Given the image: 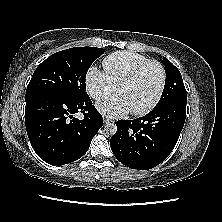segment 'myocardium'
Masks as SVG:
<instances>
[{
	"instance_id": "myocardium-1",
	"label": "myocardium",
	"mask_w": 222,
	"mask_h": 222,
	"mask_svg": "<svg viewBox=\"0 0 222 222\" xmlns=\"http://www.w3.org/2000/svg\"><path fill=\"white\" fill-rule=\"evenodd\" d=\"M151 64L156 65L160 70V75H161L160 85H159L156 95L147 105H145L144 107H142L140 109L131 110V113L134 115H144V114L148 113L157 105V103L161 99L162 94L164 92L165 84H166V71H165L164 66L162 65V63H160L157 60H150L149 59V60L139 64L135 69H133L117 86V90L119 92V90L123 86L133 82L137 78V76L140 74V72L145 67H147L148 65H151Z\"/></svg>"
}]
</instances>
